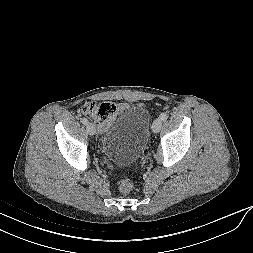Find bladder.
<instances>
[{
    "mask_svg": "<svg viewBox=\"0 0 253 253\" xmlns=\"http://www.w3.org/2000/svg\"><path fill=\"white\" fill-rule=\"evenodd\" d=\"M150 123L151 115L145 107L120 110L102 133L105 156L121 166L134 163L146 149Z\"/></svg>",
    "mask_w": 253,
    "mask_h": 253,
    "instance_id": "31cf9c89",
    "label": "bladder"
}]
</instances>
